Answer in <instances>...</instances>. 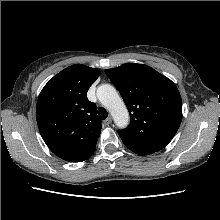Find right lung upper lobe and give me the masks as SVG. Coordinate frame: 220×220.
<instances>
[{"label": "right lung upper lobe", "instance_id": "1", "mask_svg": "<svg viewBox=\"0 0 220 220\" xmlns=\"http://www.w3.org/2000/svg\"><path fill=\"white\" fill-rule=\"evenodd\" d=\"M100 71L75 64L50 79L36 106L40 134L49 149L69 162H82L93 155L102 120L96 105L87 99L89 87Z\"/></svg>", "mask_w": 220, "mask_h": 220}]
</instances>
